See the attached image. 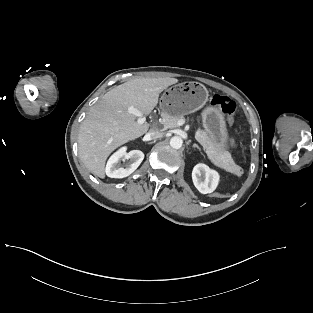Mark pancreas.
<instances>
[{"mask_svg":"<svg viewBox=\"0 0 313 313\" xmlns=\"http://www.w3.org/2000/svg\"><path fill=\"white\" fill-rule=\"evenodd\" d=\"M184 116H173L163 114L162 124L165 129L177 127L179 120ZM195 139L201 144L208 158L219 168L227 172L239 175L242 171L241 167L235 164L231 154L226 151L220 144L213 141L204 131L198 129L195 133Z\"/></svg>","mask_w":313,"mask_h":313,"instance_id":"1","label":"pancreas"}]
</instances>
